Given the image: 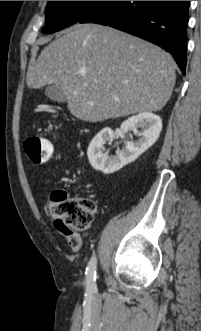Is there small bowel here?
<instances>
[{
	"label": "small bowel",
	"instance_id": "small-bowel-1",
	"mask_svg": "<svg viewBox=\"0 0 201 331\" xmlns=\"http://www.w3.org/2000/svg\"><path fill=\"white\" fill-rule=\"evenodd\" d=\"M62 233L65 235L67 242L74 251H78L81 247V240L77 233L72 232L68 229H61Z\"/></svg>",
	"mask_w": 201,
	"mask_h": 331
}]
</instances>
